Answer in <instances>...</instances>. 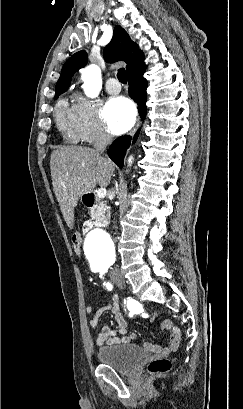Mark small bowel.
<instances>
[{"mask_svg":"<svg viewBox=\"0 0 243 409\" xmlns=\"http://www.w3.org/2000/svg\"><path fill=\"white\" fill-rule=\"evenodd\" d=\"M127 308L131 315L138 313V307L134 302L128 303ZM86 311L90 313L92 311V307L88 305L86 307ZM106 311H110L111 314L113 315L117 323V329H112L108 325L102 326L101 331L96 338V344L98 346L117 345L121 343L128 344L131 341L137 339V335L135 333H132L128 336L126 335L127 323L121 312L119 298L116 295L112 296L111 302L109 304L101 307L93 314L89 322L91 328L94 329L99 325L100 319ZM160 329L167 331L168 344L165 347H162L153 342H148L145 344L146 348L158 354L168 355L172 352H175L178 349L181 340L180 330L178 329V327L174 326L170 320H164L160 325ZM117 334L121 335L122 337L121 338L117 337Z\"/></svg>","mask_w":243,"mask_h":409,"instance_id":"1","label":"small bowel"}]
</instances>
